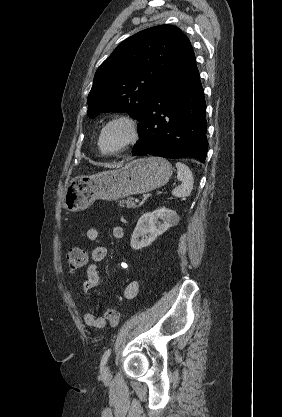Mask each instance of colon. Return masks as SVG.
<instances>
[{
	"instance_id": "obj_1",
	"label": "colon",
	"mask_w": 282,
	"mask_h": 417,
	"mask_svg": "<svg viewBox=\"0 0 282 417\" xmlns=\"http://www.w3.org/2000/svg\"><path fill=\"white\" fill-rule=\"evenodd\" d=\"M87 261L85 252L79 248H72L66 254V264L72 272L82 268ZM104 317L111 325L119 323V314L117 310L109 308L104 311Z\"/></svg>"
}]
</instances>
